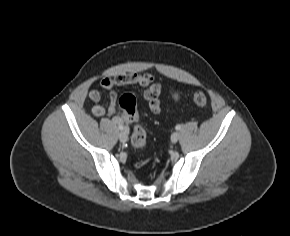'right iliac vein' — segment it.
Segmentation results:
<instances>
[{"mask_svg": "<svg viewBox=\"0 0 290 236\" xmlns=\"http://www.w3.org/2000/svg\"><path fill=\"white\" fill-rule=\"evenodd\" d=\"M118 137H119V140L121 142H123V143L127 142V140H128V128L127 127L123 128L122 131L119 133Z\"/></svg>", "mask_w": 290, "mask_h": 236, "instance_id": "obj_1", "label": "right iliac vein"}]
</instances>
